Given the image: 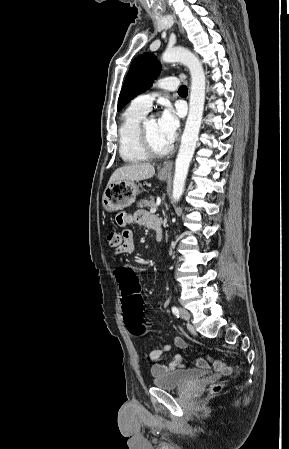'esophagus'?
<instances>
[{
	"mask_svg": "<svg viewBox=\"0 0 289 449\" xmlns=\"http://www.w3.org/2000/svg\"><path fill=\"white\" fill-rule=\"evenodd\" d=\"M179 28H180V31L183 33V29L180 26H179ZM172 167H173V163L171 161H169L163 165V167L161 168V171L162 172H171Z\"/></svg>",
	"mask_w": 289,
	"mask_h": 449,
	"instance_id": "obj_1",
	"label": "esophagus"
}]
</instances>
